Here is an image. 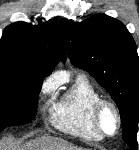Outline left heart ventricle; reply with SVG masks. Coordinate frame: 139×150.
I'll use <instances>...</instances> for the list:
<instances>
[{"label": "left heart ventricle", "instance_id": "b2bd125f", "mask_svg": "<svg viewBox=\"0 0 139 150\" xmlns=\"http://www.w3.org/2000/svg\"><path fill=\"white\" fill-rule=\"evenodd\" d=\"M100 122L101 127L106 134L112 135L115 133L117 128V121L111 108L106 107L103 109Z\"/></svg>", "mask_w": 139, "mask_h": 150}]
</instances>
